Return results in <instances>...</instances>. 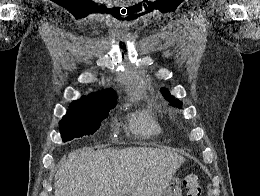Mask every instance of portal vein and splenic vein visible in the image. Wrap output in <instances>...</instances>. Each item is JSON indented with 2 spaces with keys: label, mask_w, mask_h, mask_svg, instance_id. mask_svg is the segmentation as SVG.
<instances>
[{
  "label": "portal vein and splenic vein",
  "mask_w": 260,
  "mask_h": 196,
  "mask_svg": "<svg viewBox=\"0 0 260 196\" xmlns=\"http://www.w3.org/2000/svg\"><path fill=\"white\" fill-rule=\"evenodd\" d=\"M122 192H124V194H127V192H130V188H124V190H122Z\"/></svg>",
  "instance_id": "obj_1"
}]
</instances>
